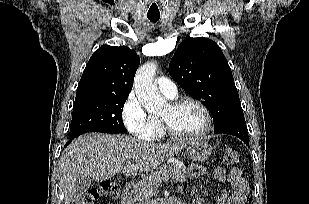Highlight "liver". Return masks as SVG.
<instances>
[{"instance_id": "6515ba94", "label": "liver", "mask_w": 309, "mask_h": 204, "mask_svg": "<svg viewBox=\"0 0 309 204\" xmlns=\"http://www.w3.org/2000/svg\"><path fill=\"white\" fill-rule=\"evenodd\" d=\"M187 142L158 145L127 135L87 133L63 151L59 161L60 188L69 204L76 181L90 177L105 181L116 173L149 172L188 145ZM130 159L136 161L131 164Z\"/></svg>"}]
</instances>
